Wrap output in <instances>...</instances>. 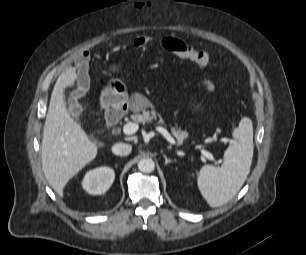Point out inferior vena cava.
Returning a JSON list of instances; mask_svg holds the SVG:
<instances>
[{
	"label": "inferior vena cava",
	"instance_id": "obj_1",
	"mask_svg": "<svg viewBox=\"0 0 306 255\" xmlns=\"http://www.w3.org/2000/svg\"><path fill=\"white\" fill-rule=\"evenodd\" d=\"M132 146L125 143H116L112 146V152L115 155L127 156L131 153Z\"/></svg>",
	"mask_w": 306,
	"mask_h": 255
}]
</instances>
